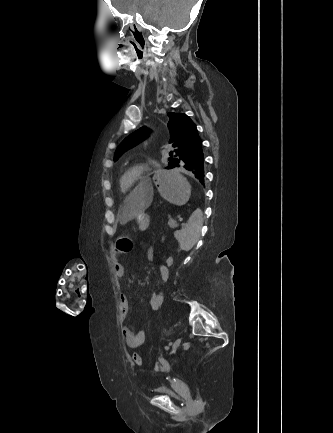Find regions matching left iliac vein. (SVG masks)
Returning <instances> with one entry per match:
<instances>
[{
  "mask_svg": "<svg viewBox=\"0 0 333 433\" xmlns=\"http://www.w3.org/2000/svg\"><path fill=\"white\" fill-rule=\"evenodd\" d=\"M181 344V338L175 340L172 346V352L176 351Z\"/></svg>",
  "mask_w": 333,
  "mask_h": 433,
  "instance_id": "4c4485c4",
  "label": "left iliac vein"
}]
</instances>
